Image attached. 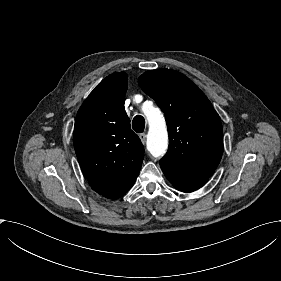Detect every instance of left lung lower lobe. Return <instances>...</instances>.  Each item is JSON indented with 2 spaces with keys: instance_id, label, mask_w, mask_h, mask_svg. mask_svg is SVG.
<instances>
[{
  "instance_id": "1",
  "label": "left lung lower lobe",
  "mask_w": 281,
  "mask_h": 281,
  "mask_svg": "<svg viewBox=\"0 0 281 281\" xmlns=\"http://www.w3.org/2000/svg\"><path fill=\"white\" fill-rule=\"evenodd\" d=\"M160 166L171 184L182 192H192L202 187L215 170L185 169L160 160Z\"/></svg>"
}]
</instances>
